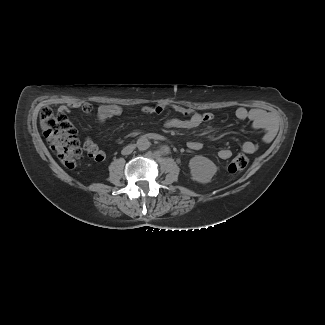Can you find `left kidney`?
Returning a JSON list of instances; mask_svg holds the SVG:
<instances>
[{
	"label": "left kidney",
	"mask_w": 325,
	"mask_h": 325,
	"mask_svg": "<svg viewBox=\"0 0 325 325\" xmlns=\"http://www.w3.org/2000/svg\"><path fill=\"white\" fill-rule=\"evenodd\" d=\"M189 168L192 179L202 184L209 183L217 172V166L201 155L190 159Z\"/></svg>",
	"instance_id": "obj_1"
}]
</instances>
